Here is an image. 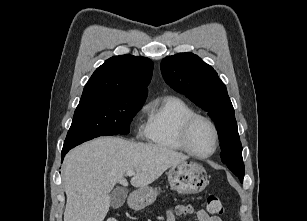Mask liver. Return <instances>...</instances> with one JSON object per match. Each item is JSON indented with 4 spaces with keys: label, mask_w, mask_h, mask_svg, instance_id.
<instances>
[{
    "label": "liver",
    "mask_w": 307,
    "mask_h": 221,
    "mask_svg": "<svg viewBox=\"0 0 307 221\" xmlns=\"http://www.w3.org/2000/svg\"><path fill=\"white\" fill-rule=\"evenodd\" d=\"M187 159L163 146L116 137L97 138L74 148L62 169L67 196L64 221H103L115 184L128 186L127 171H134L131 185L142 188Z\"/></svg>",
    "instance_id": "obj_1"
}]
</instances>
